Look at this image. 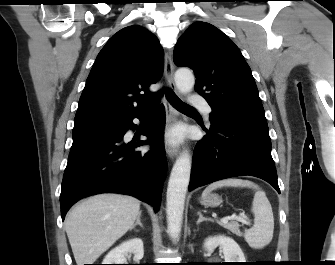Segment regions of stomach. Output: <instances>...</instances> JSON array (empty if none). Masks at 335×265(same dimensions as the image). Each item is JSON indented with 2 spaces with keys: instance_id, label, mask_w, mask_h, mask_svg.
Returning <instances> with one entry per match:
<instances>
[{
  "instance_id": "1",
  "label": "stomach",
  "mask_w": 335,
  "mask_h": 265,
  "mask_svg": "<svg viewBox=\"0 0 335 265\" xmlns=\"http://www.w3.org/2000/svg\"><path fill=\"white\" fill-rule=\"evenodd\" d=\"M222 202L221 198L216 194L209 193L207 196L203 197L201 203L207 206H218Z\"/></svg>"
}]
</instances>
